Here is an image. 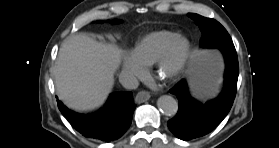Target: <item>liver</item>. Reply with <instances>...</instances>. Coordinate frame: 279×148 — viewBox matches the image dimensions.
I'll return each instance as SVG.
<instances>
[{
  "instance_id": "6515ba94",
  "label": "liver",
  "mask_w": 279,
  "mask_h": 148,
  "mask_svg": "<svg viewBox=\"0 0 279 148\" xmlns=\"http://www.w3.org/2000/svg\"><path fill=\"white\" fill-rule=\"evenodd\" d=\"M121 61V50L102 44L87 35H73L59 50L54 68L58 96L80 111L103 104L114 84V73Z\"/></svg>"
}]
</instances>
